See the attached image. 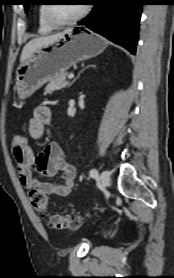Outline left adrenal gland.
<instances>
[{
    "label": "left adrenal gland",
    "instance_id": "obj_1",
    "mask_svg": "<svg viewBox=\"0 0 174 278\" xmlns=\"http://www.w3.org/2000/svg\"><path fill=\"white\" fill-rule=\"evenodd\" d=\"M90 67H96V65H88L87 67H85L84 69H82V71H80V73L78 74V76L69 84V87L80 77V74L84 71V70H86V69H88V68H90Z\"/></svg>",
    "mask_w": 174,
    "mask_h": 278
}]
</instances>
